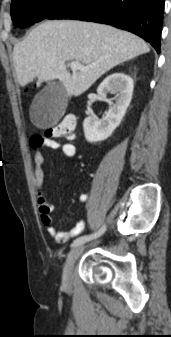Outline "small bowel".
<instances>
[{"instance_id":"small-bowel-1","label":"small bowel","mask_w":171,"mask_h":337,"mask_svg":"<svg viewBox=\"0 0 171 337\" xmlns=\"http://www.w3.org/2000/svg\"><path fill=\"white\" fill-rule=\"evenodd\" d=\"M31 146L34 150L33 163V180L37 196V204L40 213V218L43 225L46 227L47 232L58 242L66 243L70 238L79 235L84 228L83 221H78L75 226L66 232L58 230L54 223L52 212L54 209L53 204L48 198L47 190L45 188V174L43 170V164L45 162V157L42 152L44 147L51 150L61 152L66 156L73 158L77 155V148L72 142H59L53 138L46 136L36 135L31 140ZM89 196L87 194H81L79 196V201L81 203H87Z\"/></svg>"}]
</instances>
